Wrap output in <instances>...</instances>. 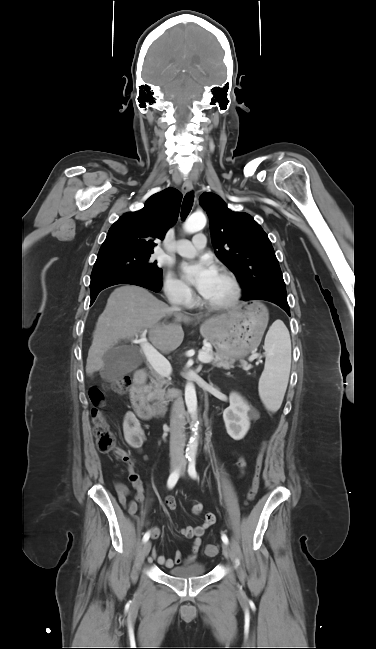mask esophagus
I'll return each mask as SVG.
<instances>
[{"mask_svg": "<svg viewBox=\"0 0 376 649\" xmlns=\"http://www.w3.org/2000/svg\"><path fill=\"white\" fill-rule=\"evenodd\" d=\"M193 189V184L191 181H185L182 186V191L187 193Z\"/></svg>", "mask_w": 376, "mask_h": 649, "instance_id": "obj_1", "label": "esophagus"}]
</instances>
